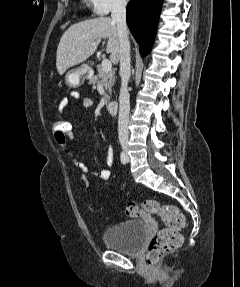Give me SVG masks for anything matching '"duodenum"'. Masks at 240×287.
Masks as SVG:
<instances>
[{
	"mask_svg": "<svg viewBox=\"0 0 240 287\" xmlns=\"http://www.w3.org/2000/svg\"><path fill=\"white\" fill-rule=\"evenodd\" d=\"M107 110L111 113V114H115L117 111V107H118V102L114 99L109 100L106 104Z\"/></svg>",
	"mask_w": 240,
	"mask_h": 287,
	"instance_id": "duodenum-1",
	"label": "duodenum"
}]
</instances>
